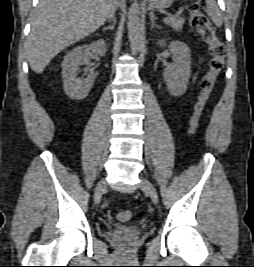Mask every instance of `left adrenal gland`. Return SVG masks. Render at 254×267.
Segmentation results:
<instances>
[{"label": "left adrenal gland", "mask_w": 254, "mask_h": 267, "mask_svg": "<svg viewBox=\"0 0 254 267\" xmlns=\"http://www.w3.org/2000/svg\"><path fill=\"white\" fill-rule=\"evenodd\" d=\"M150 22H151V27L150 29L152 30L153 28H158L160 29V27L155 23V20L153 17L150 18Z\"/></svg>", "instance_id": "a2214340"}]
</instances>
